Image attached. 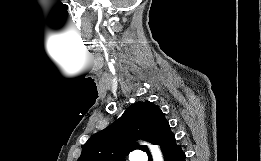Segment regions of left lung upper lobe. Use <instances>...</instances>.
I'll use <instances>...</instances> for the list:
<instances>
[{
    "instance_id": "1",
    "label": "left lung upper lobe",
    "mask_w": 261,
    "mask_h": 161,
    "mask_svg": "<svg viewBox=\"0 0 261 161\" xmlns=\"http://www.w3.org/2000/svg\"><path fill=\"white\" fill-rule=\"evenodd\" d=\"M171 133L159 107L149 101H139L110 126L92 135L82 145L78 161H125L124 156L135 149L149 153L145 145L135 143L136 139L160 145Z\"/></svg>"
}]
</instances>
